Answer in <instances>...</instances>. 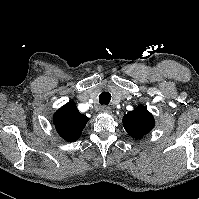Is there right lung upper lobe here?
<instances>
[{
	"mask_svg": "<svg viewBox=\"0 0 199 199\" xmlns=\"http://www.w3.org/2000/svg\"><path fill=\"white\" fill-rule=\"evenodd\" d=\"M89 118L81 114L76 104L69 101L56 111L53 122L58 134L66 141H76L86 126Z\"/></svg>",
	"mask_w": 199,
	"mask_h": 199,
	"instance_id": "obj_1",
	"label": "right lung upper lobe"
}]
</instances>
